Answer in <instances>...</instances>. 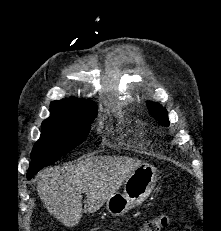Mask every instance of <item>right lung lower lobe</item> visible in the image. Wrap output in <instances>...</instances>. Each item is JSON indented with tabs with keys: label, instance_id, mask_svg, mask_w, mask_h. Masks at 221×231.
<instances>
[{
	"label": "right lung lower lobe",
	"instance_id": "98d812e1",
	"mask_svg": "<svg viewBox=\"0 0 221 231\" xmlns=\"http://www.w3.org/2000/svg\"><path fill=\"white\" fill-rule=\"evenodd\" d=\"M35 173H36V171H28L27 172V178L28 179L32 178Z\"/></svg>",
	"mask_w": 221,
	"mask_h": 231
}]
</instances>
